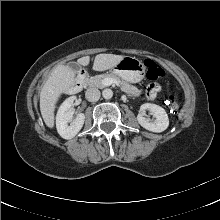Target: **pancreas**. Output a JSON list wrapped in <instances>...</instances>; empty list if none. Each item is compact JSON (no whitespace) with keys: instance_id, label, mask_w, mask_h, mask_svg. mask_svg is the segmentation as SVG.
Here are the masks:
<instances>
[{"instance_id":"pancreas-1","label":"pancreas","mask_w":220,"mask_h":220,"mask_svg":"<svg viewBox=\"0 0 220 220\" xmlns=\"http://www.w3.org/2000/svg\"><path fill=\"white\" fill-rule=\"evenodd\" d=\"M106 78H112L118 81L121 85L122 90L131 96L138 97L141 94V91L137 87L129 84L124 80H121L115 73L92 76L86 78L85 82L89 87L104 88L105 85L103 84V80Z\"/></svg>"}]
</instances>
